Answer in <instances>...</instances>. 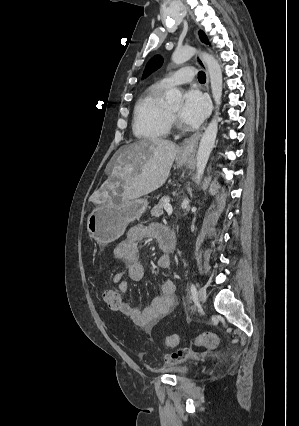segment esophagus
I'll list each match as a JSON object with an SVG mask.
<instances>
[{
	"instance_id": "esophagus-1",
	"label": "esophagus",
	"mask_w": 299,
	"mask_h": 426,
	"mask_svg": "<svg viewBox=\"0 0 299 426\" xmlns=\"http://www.w3.org/2000/svg\"><path fill=\"white\" fill-rule=\"evenodd\" d=\"M196 59H197L198 63L200 64V66H202L205 70V73H206V89L209 92V75H208L207 66H206L205 62L203 61V59L201 58V56L199 54L196 56ZM211 108H212V105H211ZM204 128H205V126H203L200 131L193 134L189 139L184 141V143L182 144V147H181V151H180L182 155H191L195 151L198 140L200 139V136H201V132L203 131Z\"/></svg>"
}]
</instances>
